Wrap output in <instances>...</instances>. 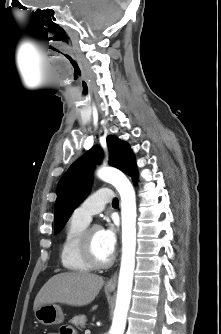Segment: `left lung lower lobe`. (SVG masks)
Instances as JSON below:
<instances>
[{
    "label": "left lung lower lobe",
    "instance_id": "obj_1",
    "mask_svg": "<svg viewBox=\"0 0 221 334\" xmlns=\"http://www.w3.org/2000/svg\"><path fill=\"white\" fill-rule=\"evenodd\" d=\"M138 174L137 172L132 176L133 180H137Z\"/></svg>",
    "mask_w": 221,
    "mask_h": 334
}]
</instances>
